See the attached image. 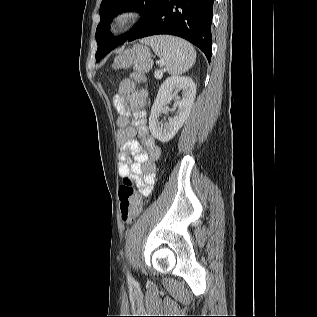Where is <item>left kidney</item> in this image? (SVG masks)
Here are the masks:
<instances>
[{
  "label": "left kidney",
  "instance_id": "5707ae66",
  "mask_svg": "<svg viewBox=\"0 0 317 317\" xmlns=\"http://www.w3.org/2000/svg\"><path fill=\"white\" fill-rule=\"evenodd\" d=\"M182 91V96L178 92ZM196 95V85L192 78L173 76L164 81L159 88L156 100L149 117V129L152 135L161 142L171 140L189 116ZM175 98L173 109L176 114L169 122L162 125L158 122L159 115L165 111V103Z\"/></svg>",
  "mask_w": 317,
  "mask_h": 317
}]
</instances>
